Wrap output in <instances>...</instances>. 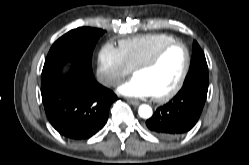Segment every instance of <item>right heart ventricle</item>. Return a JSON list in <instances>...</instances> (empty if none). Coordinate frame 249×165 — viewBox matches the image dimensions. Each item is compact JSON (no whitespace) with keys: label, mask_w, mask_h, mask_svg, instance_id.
<instances>
[{"label":"right heart ventricle","mask_w":249,"mask_h":165,"mask_svg":"<svg viewBox=\"0 0 249 165\" xmlns=\"http://www.w3.org/2000/svg\"><path fill=\"white\" fill-rule=\"evenodd\" d=\"M174 40L168 34L149 33L121 40L119 42V49L125 62L132 70L150 58L161 46Z\"/></svg>","instance_id":"obj_1"}]
</instances>
